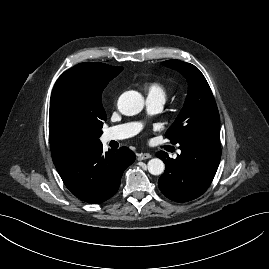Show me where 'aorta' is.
Here are the masks:
<instances>
[{
    "label": "aorta",
    "mask_w": 269,
    "mask_h": 269,
    "mask_svg": "<svg viewBox=\"0 0 269 269\" xmlns=\"http://www.w3.org/2000/svg\"><path fill=\"white\" fill-rule=\"evenodd\" d=\"M144 98L137 91H126L118 99V109L126 116H133L142 111ZM147 168L150 174L160 175L164 172L165 165L159 158L149 160Z\"/></svg>",
    "instance_id": "1"
}]
</instances>
